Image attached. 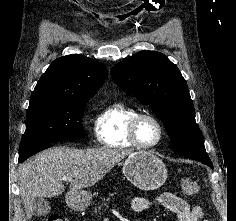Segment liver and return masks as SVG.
Instances as JSON below:
<instances>
[{"instance_id":"6515ba94","label":"liver","mask_w":236,"mask_h":221,"mask_svg":"<svg viewBox=\"0 0 236 221\" xmlns=\"http://www.w3.org/2000/svg\"><path fill=\"white\" fill-rule=\"evenodd\" d=\"M131 150L53 147L42 151L18 168V187L27 219L33 215L37 197L51 198L64 192V178H72L70 192L81 191L100 181Z\"/></svg>"}]
</instances>
